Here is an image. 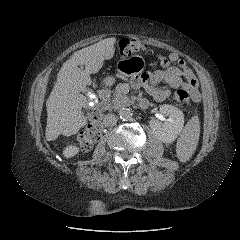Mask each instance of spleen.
I'll list each match as a JSON object with an SVG mask.
<instances>
[{
	"label": "spleen",
	"instance_id": "3e777b00",
	"mask_svg": "<svg viewBox=\"0 0 240 240\" xmlns=\"http://www.w3.org/2000/svg\"><path fill=\"white\" fill-rule=\"evenodd\" d=\"M199 136V117L193 116L187 122L176 144V155L181 162H186L192 157L199 142Z\"/></svg>",
	"mask_w": 240,
	"mask_h": 240
}]
</instances>
